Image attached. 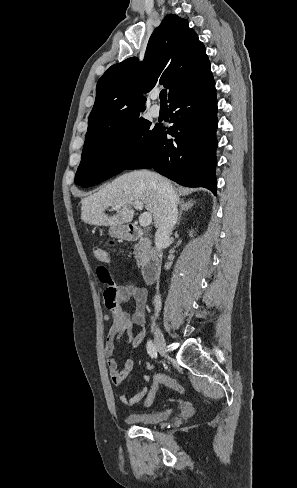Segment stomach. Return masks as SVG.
<instances>
[{
	"instance_id": "1",
	"label": "stomach",
	"mask_w": 297,
	"mask_h": 488,
	"mask_svg": "<svg viewBox=\"0 0 297 488\" xmlns=\"http://www.w3.org/2000/svg\"><path fill=\"white\" fill-rule=\"evenodd\" d=\"M109 234L111 237L114 238L127 239L129 237L128 230L125 226L111 227L109 230Z\"/></svg>"
}]
</instances>
